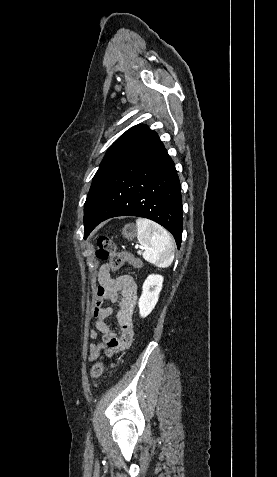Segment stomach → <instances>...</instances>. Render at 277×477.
I'll use <instances>...</instances> for the list:
<instances>
[{
  "instance_id": "1",
  "label": "stomach",
  "mask_w": 277,
  "mask_h": 477,
  "mask_svg": "<svg viewBox=\"0 0 277 477\" xmlns=\"http://www.w3.org/2000/svg\"><path fill=\"white\" fill-rule=\"evenodd\" d=\"M137 234V229L133 224H128L122 229V235L128 240H132Z\"/></svg>"
}]
</instances>
